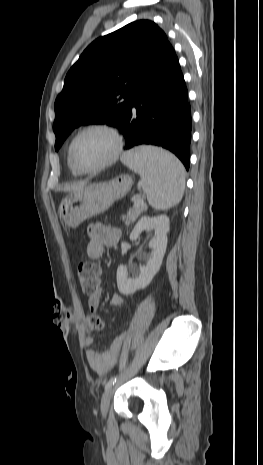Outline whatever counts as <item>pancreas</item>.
Returning a JSON list of instances; mask_svg holds the SVG:
<instances>
[{"instance_id":"obj_1","label":"pancreas","mask_w":263,"mask_h":465,"mask_svg":"<svg viewBox=\"0 0 263 465\" xmlns=\"http://www.w3.org/2000/svg\"><path fill=\"white\" fill-rule=\"evenodd\" d=\"M146 210L144 203H141L139 206H134L129 209L128 213L122 217V220L125 222L126 226H129L131 223L139 217V215Z\"/></svg>"}]
</instances>
